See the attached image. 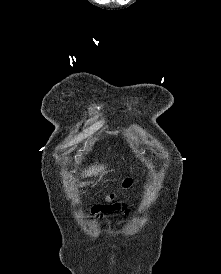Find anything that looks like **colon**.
<instances>
[{"mask_svg":"<svg viewBox=\"0 0 221 274\" xmlns=\"http://www.w3.org/2000/svg\"><path fill=\"white\" fill-rule=\"evenodd\" d=\"M131 184H132V180L130 178H127L123 183V188L127 189L131 186Z\"/></svg>","mask_w":221,"mask_h":274,"instance_id":"5ec220e1","label":"colon"}]
</instances>
